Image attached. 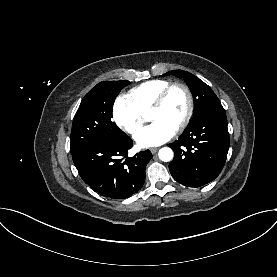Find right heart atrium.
<instances>
[{
    "label": "right heart atrium",
    "instance_id": "1",
    "mask_svg": "<svg viewBox=\"0 0 277 277\" xmlns=\"http://www.w3.org/2000/svg\"><path fill=\"white\" fill-rule=\"evenodd\" d=\"M115 123L125 132L134 134L142 125V112L127 95H119L112 107Z\"/></svg>",
    "mask_w": 277,
    "mask_h": 277
}]
</instances>
